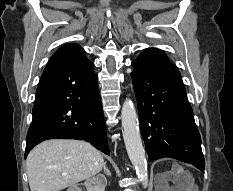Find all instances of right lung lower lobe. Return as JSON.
Masks as SVG:
<instances>
[{
	"label": "right lung lower lobe",
	"instance_id": "right-lung-lower-lobe-1",
	"mask_svg": "<svg viewBox=\"0 0 233 191\" xmlns=\"http://www.w3.org/2000/svg\"><path fill=\"white\" fill-rule=\"evenodd\" d=\"M93 66L87 58L46 66L36 91L25 158L35 145L54 138L85 140L110 155Z\"/></svg>",
	"mask_w": 233,
	"mask_h": 191
}]
</instances>
